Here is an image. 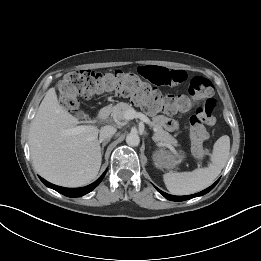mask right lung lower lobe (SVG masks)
I'll return each instance as SVG.
<instances>
[{
  "label": "right lung lower lobe",
  "mask_w": 261,
  "mask_h": 261,
  "mask_svg": "<svg viewBox=\"0 0 261 261\" xmlns=\"http://www.w3.org/2000/svg\"><path fill=\"white\" fill-rule=\"evenodd\" d=\"M105 174H106V171L94 183H92L86 187H82V188H64V187H60V186L51 184L41 177H40V179L47 187L52 188L67 197H80V196H83V195L91 192L101 182V180L103 179Z\"/></svg>",
  "instance_id": "1"
}]
</instances>
